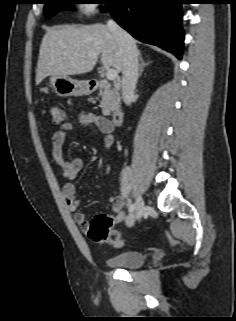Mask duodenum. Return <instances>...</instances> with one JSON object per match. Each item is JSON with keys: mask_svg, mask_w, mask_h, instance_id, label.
<instances>
[{"mask_svg": "<svg viewBox=\"0 0 236 321\" xmlns=\"http://www.w3.org/2000/svg\"><path fill=\"white\" fill-rule=\"evenodd\" d=\"M100 85V82L99 80L97 79H94L90 82V88L91 90H95L97 89V87ZM123 119H124V113L122 110L120 109H116V110H113L111 113H110V120L111 122L113 123V125L115 126H120L123 122Z\"/></svg>", "mask_w": 236, "mask_h": 321, "instance_id": "410a0bca", "label": "duodenum"}]
</instances>
